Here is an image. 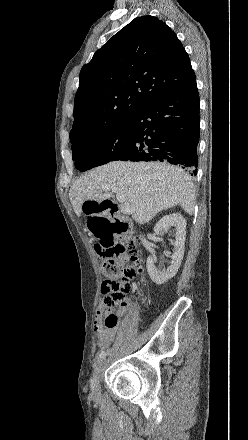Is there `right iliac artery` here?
<instances>
[{"mask_svg":"<svg viewBox=\"0 0 248 440\" xmlns=\"http://www.w3.org/2000/svg\"><path fill=\"white\" fill-rule=\"evenodd\" d=\"M106 356H107V352H105V351H102V352L99 353V359L100 360L104 359Z\"/></svg>","mask_w":248,"mask_h":440,"instance_id":"right-iliac-artery-1","label":"right iliac artery"}]
</instances>
